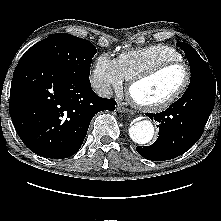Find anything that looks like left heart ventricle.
I'll use <instances>...</instances> for the list:
<instances>
[{
  "instance_id": "b2bd125f",
  "label": "left heart ventricle",
  "mask_w": 221,
  "mask_h": 221,
  "mask_svg": "<svg viewBox=\"0 0 221 221\" xmlns=\"http://www.w3.org/2000/svg\"><path fill=\"white\" fill-rule=\"evenodd\" d=\"M185 75L186 72L182 66L167 68L154 77L137 84L133 89V94L142 103L162 102L182 86Z\"/></svg>"
}]
</instances>
